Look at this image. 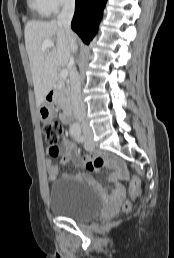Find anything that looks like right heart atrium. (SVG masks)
I'll use <instances>...</instances> for the list:
<instances>
[{
	"label": "right heart atrium",
	"instance_id": "1",
	"mask_svg": "<svg viewBox=\"0 0 174 258\" xmlns=\"http://www.w3.org/2000/svg\"><path fill=\"white\" fill-rule=\"evenodd\" d=\"M75 0H44L49 13L54 14L61 9L72 5Z\"/></svg>",
	"mask_w": 174,
	"mask_h": 258
}]
</instances>
